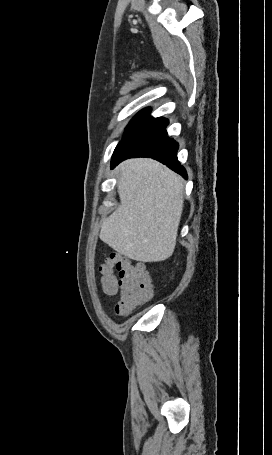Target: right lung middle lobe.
I'll list each match as a JSON object with an SVG mask.
<instances>
[{
	"label": "right lung middle lobe",
	"mask_w": 272,
	"mask_h": 455,
	"mask_svg": "<svg viewBox=\"0 0 272 455\" xmlns=\"http://www.w3.org/2000/svg\"><path fill=\"white\" fill-rule=\"evenodd\" d=\"M150 112H151V109L150 108H146V109H143L141 110L132 120L131 122L129 123V125L126 127V130H125V135L126 136L129 132H131L133 129H135L136 127H138L139 125L143 124L144 122H146L147 120H149L150 118H152L150 116Z\"/></svg>",
	"instance_id": "obj_1"
}]
</instances>
